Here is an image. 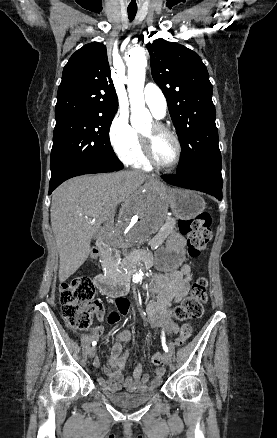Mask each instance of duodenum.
Masks as SVG:
<instances>
[{"mask_svg":"<svg viewBox=\"0 0 277 438\" xmlns=\"http://www.w3.org/2000/svg\"><path fill=\"white\" fill-rule=\"evenodd\" d=\"M97 246L101 251L106 250V245L102 241H99ZM154 261V256L149 251L133 252L123 260L121 275H99L95 280L96 287L102 294L107 296H122L130 288V271L139 264L152 266Z\"/></svg>","mask_w":277,"mask_h":438,"instance_id":"obj_1","label":"duodenum"}]
</instances>
